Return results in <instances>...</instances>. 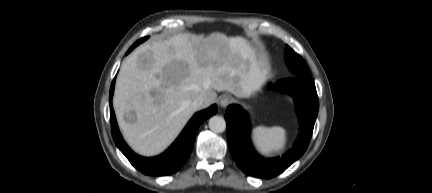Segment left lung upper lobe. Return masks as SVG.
Masks as SVG:
<instances>
[{
    "label": "left lung upper lobe",
    "mask_w": 432,
    "mask_h": 193,
    "mask_svg": "<svg viewBox=\"0 0 432 193\" xmlns=\"http://www.w3.org/2000/svg\"><path fill=\"white\" fill-rule=\"evenodd\" d=\"M285 59L289 70L295 76H311L302 57L287 45L285 47Z\"/></svg>",
    "instance_id": "left-lung-upper-lobe-1"
}]
</instances>
